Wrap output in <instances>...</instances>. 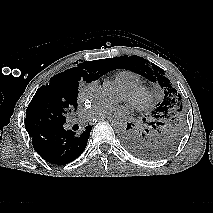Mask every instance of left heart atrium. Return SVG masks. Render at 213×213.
Wrapping results in <instances>:
<instances>
[{
  "label": "left heart atrium",
  "instance_id": "1",
  "mask_svg": "<svg viewBox=\"0 0 213 213\" xmlns=\"http://www.w3.org/2000/svg\"><path fill=\"white\" fill-rule=\"evenodd\" d=\"M129 110L130 108L126 103L111 105L98 102L85 109L83 116L87 121H94L108 117L125 115L129 112Z\"/></svg>",
  "mask_w": 213,
  "mask_h": 213
}]
</instances>
